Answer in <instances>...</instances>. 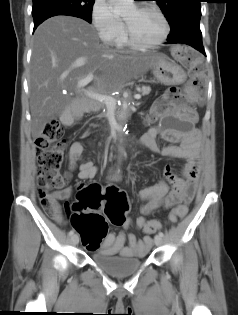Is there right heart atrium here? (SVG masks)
Here are the masks:
<instances>
[{
  "label": "right heart atrium",
  "instance_id": "1",
  "mask_svg": "<svg viewBox=\"0 0 238 315\" xmlns=\"http://www.w3.org/2000/svg\"><path fill=\"white\" fill-rule=\"evenodd\" d=\"M90 18L99 38L111 43L124 28L123 22L112 11L106 0H94Z\"/></svg>",
  "mask_w": 238,
  "mask_h": 315
}]
</instances>
